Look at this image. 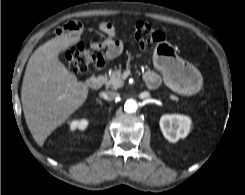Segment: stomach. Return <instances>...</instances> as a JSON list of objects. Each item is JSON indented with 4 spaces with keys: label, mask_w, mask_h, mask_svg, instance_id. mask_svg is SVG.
Masks as SVG:
<instances>
[{
    "label": "stomach",
    "mask_w": 245,
    "mask_h": 195,
    "mask_svg": "<svg viewBox=\"0 0 245 195\" xmlns=\"http://www.w3.org/2000/svg\"><path fill=\"white\" fill-rule=\"evenodd\" d=\"M174 47L167 43H159L153 53V63L164 77L166 85L182 95H193L202 87V77L191 64L178 58Z\"/></svg>",
    "instance_id": "0dacf381"
}]
</instances>
